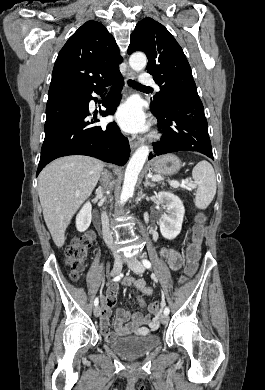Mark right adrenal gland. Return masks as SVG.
<instances>
[{"label":"right adrenal gland","mask_w":265,"mask_h":390,"mask_svg":"<svg viewBox=\"0 0 265 390\" xmlns=\"http://www.w3.org/2000/svg\"><path fill=\"white\" fill-rule=\"evenodd\" d=\"M103 178L100 179V182L104 181L105 183L108 182V179H107V175H106V172H103Z\"/></svg>","instance_id":"1"}]
</instances>
